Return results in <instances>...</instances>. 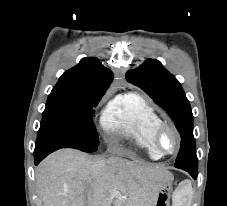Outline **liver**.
Segmentation results:
<instances>
[{"mask_svg":"<svg viewBox=\"0 0 227 206\" xmlns=\"http://www.w3.org/2000/svg\"><path fill=\"white\" fill-rule=\"evenodd\" d=\"M172 174L121 157L58 150L36 169L43 206H154Z\"/></svg>","mask_w":227,"mask_h":206,"instance_id":"1","label":"liver"}]
</instances>
